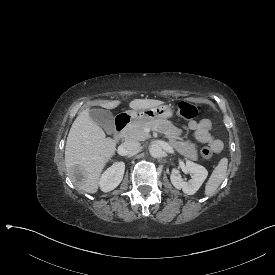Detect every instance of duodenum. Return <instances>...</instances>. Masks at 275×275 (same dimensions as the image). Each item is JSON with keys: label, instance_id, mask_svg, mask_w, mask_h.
Masks as SVG:
<instances>
[{"label": "duodenum", "instance_id": "obj_1", "mask_svg": "<svg viewBox=\"0 0 275 275\" xmlns=\"http://www.w3.org/2000/svg\"><path fill=\"white\" fill-rule=\"evenodd\" d=\"M131 122V115L121 114L115 119L114 139L119 140Z\"/></svg>", "mask_w": 275, "mask_h": 275}]
</instances>
